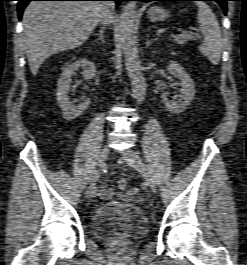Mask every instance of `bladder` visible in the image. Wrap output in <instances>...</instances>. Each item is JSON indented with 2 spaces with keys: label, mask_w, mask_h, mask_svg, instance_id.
I'll list each match as a JSON object with an SVG mask.
<instances>
[{
  "label": "bladder",
  "mask_w": 247,
  "mask_h": 265,
  "mask_svg": "<svg viewBox=\"0 0 247 265\" xmlns=\"http://www.w3.org/2000/svg\"><path fill=\"white\" fill-rule=\"evenodd\" d=\"M90 228L94 238L102 242H133L146 234L148 222L139 206L106 202L91 214Z\"/></svg>",
  "instance_id": "obj_1"
}]
</instances>
